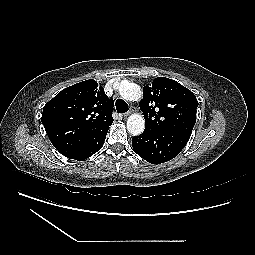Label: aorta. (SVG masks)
<instances>
[{"label":"aorta","instance_id":"obj_1","mask_svg":"<svg viewBox=\"0 0 255 255\" xmlns=\"http://www.w3.org/2000/svg\"><path fill=\"white\" fill-rule=\"evenodd\" d=\"M119 93L124 100L137 101L142 96L141 88L128 81H123L119 87ZM145 129L144 117L140 114H131L127 119V130L130 134L140 135Z\"/></svg>","mask_w":255,"mask_h":255}]
</instances>
